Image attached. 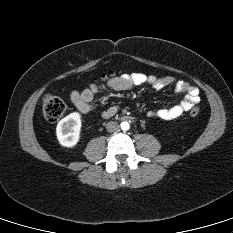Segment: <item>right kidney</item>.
<instances>
[{
  "mask_svg": "<svg viewBox=\"0 0 233 233\" xmlns=\"http://www.w3.org/2000/svg\"><path fill=\"white\" fill-rule=\"evenodd\" d=\"M81 115L78 112L70 113L61 119L56 127V135L63 147L72 148L80 139Z\"/></svg>",
  "mask_w": 233,
  "mask_h": 233,
  "instance_id": "right-kidney-1",
  "label": "right kidney"
}]
</instances>
